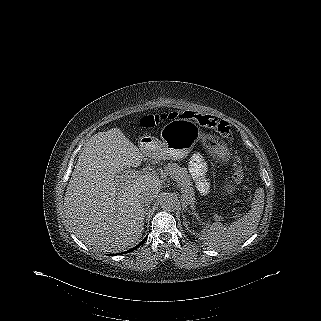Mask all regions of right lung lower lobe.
<instances>
[{"label":"right lung lower lobe","instance_id":"right-lung-lower-lobe-1","mask_svg":"<svg viewBox=\"0 0 321 321\" xmlns=\"http://www.w3.org/2000/svg\"><path fill=\"white\" fill-rule=\"evenodd\" d=\"M146 239H147V237H146L141 243H139L137 246H135L134 248H132V249H130V250L124 252V253H128V252H131V251L135 250L136 248H138L139 246H141V245L145 242ZM120 254H121V253H120ZM116 255H117V254H116Z\"/></svg>","mask_w":321,"mask_h":321}]
</instances>
